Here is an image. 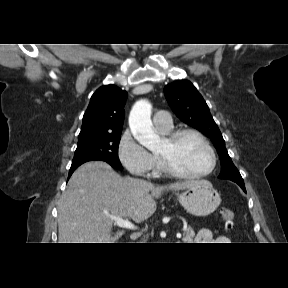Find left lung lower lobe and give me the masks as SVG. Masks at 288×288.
<instances>
[{
  "label": "left lung lower lobe",
  "mask_w": 288,
  "mask_h": 288,
  "mask_svg": "<svg viewBox=\"0 0 288 288\" xmlns=\"http://www.w3.org/2000/svg\"><path fill=\"white\" fill-rule=\"evenodd\" d=\"M245 192H246V190H245V186H240Z\"/></svg>",
  "instance_id": "0a47b994"
}]
</instances>
